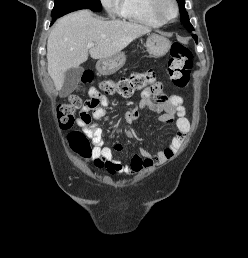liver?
Segmentation results:
<instances>
[{"mask_svg": "<svg viewBox=\"0 0 248 258\" xmlns=\"http://www.w3.org/2000/svg\"><path fill=\"white\" fill-rule=\"evenodd\" d=\"M150 32V28L140 24L95 18L88 10L60 18L47 41V70L56 91L63 86L65 72L87 61L89 54L93 59L114 56ZM88 43L95 46L88 48Z\"/></svg>", "mask_w": 248, "mask_h": 258, "instance_id": "1", "label": "liver"}]
</instances>
